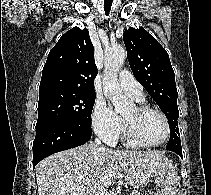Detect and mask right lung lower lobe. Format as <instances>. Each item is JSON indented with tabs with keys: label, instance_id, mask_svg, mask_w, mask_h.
Segmentation results:
<instances>
[{
	"label": "right lung lower lobe",
	"instance_id": "98d812e1",
	"mask_svg": "<svg viewBox=\"0 0 211 195\" xmlns=\"http://www.w3.org/2000/svg\"><path fill=\"white\" fill-rule=\"evenodd\" d=\"M91 128L81 125L51 124L36 130L33 142V168L45 157L89 141Z\"/></svg>",
	"mask_w": 211,
	"mask_h": 195
}]
</instances>
